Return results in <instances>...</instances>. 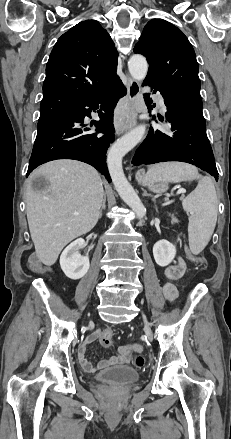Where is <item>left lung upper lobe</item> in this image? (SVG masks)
<instances>
[{
	"mask_svg": "<svg viewBox=\"0 0 231 439\" xmlns=\"http://www.w3.org/2000/svg\"><path fill=\"white\" fill-rule=\"evenodd\" d=\"M134 52L143 54L149 63L146 78L203 116L195 52L187 37L177 27L165 20H150Z\"/></svg>",
	"mask_w": 231,
	"mask_h": 439,
	"instance_id": "obj_1",
	"label": "left lung upper lobe"
}]
</instances>
